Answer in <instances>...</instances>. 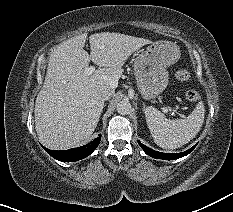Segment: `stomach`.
I'll return each instance as SVG.
<instances>
[{
    "label": "stomach",
    "instance_id": "obj_1",
    "mask_svg": "<svg viewBox=\"0 0 233 212\" xmlns=\"http://www.w3.org/2000/svg\"><path fill=\"white\" fill-rule=\"evenodd\" d=\"M179 58V46L166 40L151 43L142 50L135 59L134 74L143 97L153 99L167 87L169 82L167 68Z\"/></svg>",
    "mask_w": 233,
    "mask_h": 212
}]
</instances>
